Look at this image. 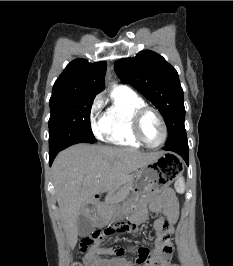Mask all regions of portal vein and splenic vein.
I'll use <instances>...</instances> for the list:
<instances>
[{
	"label": "portal vein and splenic vein",
	"mask_w": 233,
	"mask_h": 266,
	"mask_svg": "<svg viewBox=\"0 0 233 266\" xmlns=\"http://www.w3.org/2000/svg\"><path fill=\"white\" fill-rule=\"evenodd\" d=\"M97 177L100 178L101 177V174H98Z\"/></svg>",
	"instance_id": "1"
}]
</instances>
